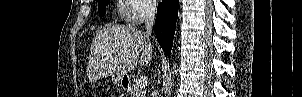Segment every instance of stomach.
Here are the masks:
<instances>
[{
    "mask_svg": "<svg viewBox=\"0 0 302 97\" xmlns=\"http://www.w3.org/2000/svg\"><path fill=\"white\" fill-rule=\"evenodd\" d=\"M113 83L120 87H127L130 77L128 74H113L111 76Z\"/></svg>",
    "mask_w": 302,
    "mask_h": 97,
    "instance_id": "stomach-1",
    "label": "stomach"
}]
</instances>
